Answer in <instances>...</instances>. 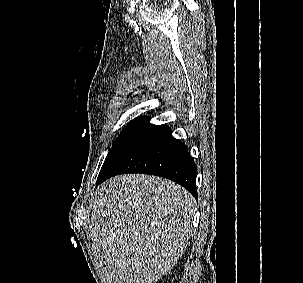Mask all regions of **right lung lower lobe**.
<instances>
[{
	"label": "right lung lower lobe",
	"mask_w": 303,
	"mask_h": 283,
	"mask_svg": "<svg viewBox=\"0 0 303 283\" xmlns=\"http://www.w3.org/2000/svg\"><path fill=\"white\" fill-rule=\"evenodd\" d=\"M124 173H144L170 179L197 198L196 164L188 147L172 136L167 125L151 124L115 165L98 177L96 187L110 177Z\"/></svg>",
	"instance_id": "right-lung-lower-lobe-1"
}]
</instances>
